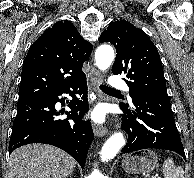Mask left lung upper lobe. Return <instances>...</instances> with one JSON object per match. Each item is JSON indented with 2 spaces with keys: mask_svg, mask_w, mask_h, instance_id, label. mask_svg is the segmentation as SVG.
<instances>
[{
  "mask_svg": "<svg viewBox=\"0 0 194 178\" xmlns=\"http://www.w3.org/2000/svg\"><path fill=\"white\" fill-rule=\"evenodd\" d=\"M99 42H110L116 48L113 74H125L129 94L134 92L167 95L162 62L155 45L144 31L130 22L111 23L99 37Z\"/></svg>",
  "mask_w": 194,
  "mask_h": 178,
  "instance_id": "1",
  "label": "left lung upper lobe"
}]
</instances>
